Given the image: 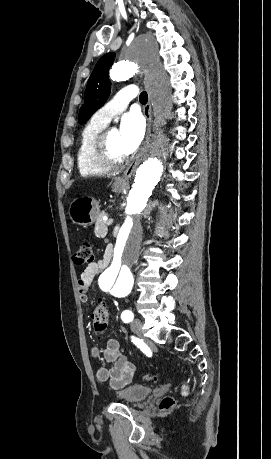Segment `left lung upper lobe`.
Returning <instances> with one entry per match:
<instances>
[{"mask_svg": "<svg viewBox=\"0 0 271 459\" xmlns=\"http://www.w3.org/2000/svg\"><path fill=\"white\" fill-rule=\"evenodd\" d=\"M114 58V53H108L97 62L85 90L84 105L79 112L80 123L87 121L108 99L111 91L108 72Z\"/></svg>", "mask_w": 271, "mask_h": 459, "instance_id": "1", "label": "left lung upper lobe"}]
</instances>
